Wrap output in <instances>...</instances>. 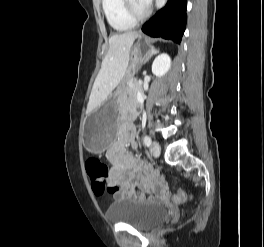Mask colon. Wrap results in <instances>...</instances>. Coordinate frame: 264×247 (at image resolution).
Listing matches in <instances>:
<instances>
[{"instance_id": "colon-1", "label": "colon", "mask_w": 264, "mask_h": 247, "mask_svg": "<svg viewBox=\"0 0 264 247\" xmlns=\"http://www.w3.org/2000/svg\"><path fill=\"white\" fill-rule=\"evenodd\" d=\"M87 174L91 180L92 189L97 194H116L118 187L111 186L109 180V170L106 164L97 158H88L85 162ZM185 198L184 191L180 190L173 200Z\"/></svg>"}]
</instances>
